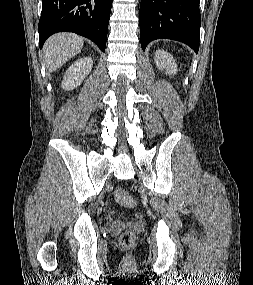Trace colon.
Segmentation results:
<instances>
[{"instance_id": "obj_1", "label": "colon", "mask_w": 253, "mask_h": 285, "mask_svg": "<svg viewBox=\"0 0 253 285\" xmlns=\"http://www.w3.org/2000/svg\"><path fill=\"white\" fill-rule=\"evenodd\" d=\"M116 201L126 207L136 206L135 199L129 195V193L124 189H118L115 192ZM136 236L131 231H125L120 237V244L122 247H130L135 243Z\"/></svg>"}]
</instances>
